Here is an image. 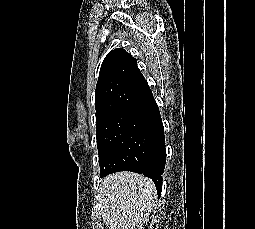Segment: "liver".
Instances as JSON below:
<instances>
[{"label": "liver", "instance_id": "obj_1", "mask_svg": "<svg viewBox=\"0 0 255 229\" xmlns=\"http://www.w3.org/2000/svg\"><path fill=\"white\" fill-rule=\"evenodd\" d=\"M152 180L132 172H118L100 185L103 222L109 229H136L156 208Z\"/></svg>", "mask_w": 255, "mask_h": 229}]
</instances>
